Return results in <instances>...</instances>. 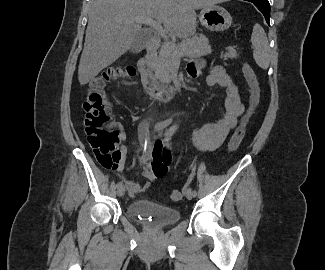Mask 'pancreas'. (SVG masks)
<instances>
[{
	"label": "pancreas",
	"instance_id": "pancreas-1",
	"mask_svg": "<svg viewBox=\"0 0 325 270\" xmlns=\"http://www.w3.org/2000/svg\"><path fill=\"white\" fill-rule=\"evenodd\" d=\"M227 51V53L221 54V58L224 60L237 58L233 47H227ZM210 53L211 46L204 35L194 36L178 44L172 41L165 42L159 50V56L154 66L155 76L162 84H169L173 67L180 58L184 56L196 58Z\"/></svg>",
	"mask_w": 325,
	"mask_h": 270
}]
</instances>
